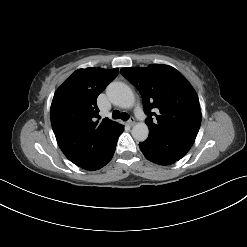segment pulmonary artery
<instances>
[{
    "label": "pulmonary artery",
    "mask_w": 247,
    "mask_h": 247,
    "mask_svg": "<svg viewBox=\"0 0 247 247\" xmlns=\"http://www.w3.org/2000/svg\"><path fill=\"white\" fill-rule=\"evenodd\" d=\"M135 114H136L138 119H142V108L138 107L135 111Z\"/></svg>",
    "instance_id": "1"
}]
</instances>
